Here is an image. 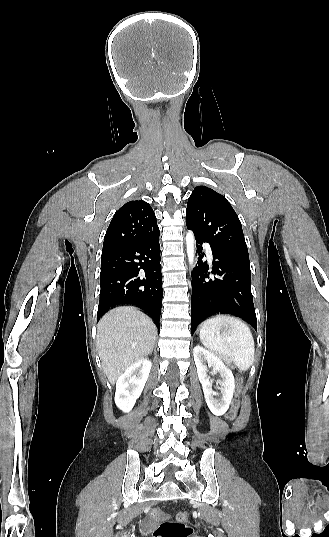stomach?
<instances>
[{"label": "stomach", "instance_id": "stomach-1", "mask_svg": "<svg viewBox=\"0 0 329 537\" xmlns=\"http://www.w3.org/2000/svg\"><path fill=\"white\" fill-rule=\"evenodd\" d=\"M229 330H230L229 325H227V326H222V327H220L219 329H217V331H218L219 333L228 332Z\"/></svg>", "mask_w": 329, "mask_h": 537}]
</instances>
